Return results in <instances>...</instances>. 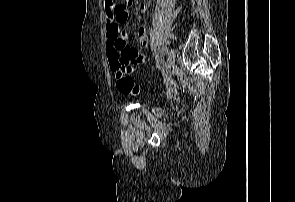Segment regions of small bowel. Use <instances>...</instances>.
Segmentation results:
<instances>
[{"instance_id": "small-bowel-1", "label": "small bowel", "mask_w": 295, "mask_h": 202, "mask_svg": "<svg viewBox=\"0 0 295 202\" xmlns=\"http://www.w3.org/2000/svg\"><path fill=\"white\" fill-rule=\"evenodd\" d=\"M105 10L107 57L111 68L113 69L115 63L122 62L128 63L131 70L139 67L145 61V56L140 53L139 48H145L149 43L146 24H141L137 29V47L129 46L126 43V34L121 30V25L128 19L126 6L116 4L115 0H105ZM139 10L147 13L148 4L141 3Z\"/></svg>"}]
</instances>
